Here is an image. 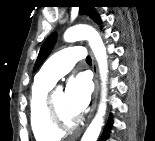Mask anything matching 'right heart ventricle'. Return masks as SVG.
I'll use <instances>...</instances> for the list:
<instances>
[{
  "mask_svg": "<svg viewBox=\"0 0 155 141\" xmlns=\"http://www.w3.org/2000/svg\"><path fill=\"white\" fill-rule=\"evenodd\" d=\"M54 83L36 79L29 100L30 123L37 141H57L62 132L54 129L46 116L45 100Z\"/></svg>",
  "mask_w": 155,
  "mask_h": 141,
  "instance_id": "e07e8e85",
  "label": "right heart ventricle"
}]
</instances>
